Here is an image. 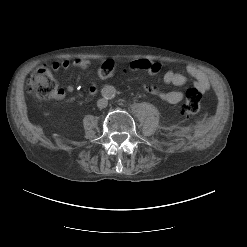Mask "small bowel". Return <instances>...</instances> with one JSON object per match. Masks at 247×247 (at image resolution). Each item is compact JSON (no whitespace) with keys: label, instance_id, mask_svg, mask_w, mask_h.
Wrapping results in <instances>:
<instances>
[{"label":"small bowel","instance_id":"1","mask_svg":"<svg viewBox=\"0 0 247 247\" xmlns=\"http://www.w3.org/2000/svg\"><path fill=\"white\" fill-rule=\"evenodd\" d=\"M73 64L77 67L87 69L90 67L89 60L86 59H76ZM70 67V62L67 60L62 61L61 63H55L52 65V69L54 71H58L59 69H68ZM130 68L132 70H145L150 74L158 73L161 69V65L154 61L147 60H136L131 62ZM192 78L194 82L195 88L200 93H207L210 90V83L207 75L197 68L194 65H188L186 68V73L175 72L168 70L163 74V81L166 84H172L175 86H182L187 83L188 79ZM146 89L159 98L162 101H166L168 103L177 104L182 101L183 93L176 90H161L154 86H146ZM65 90L67 92H72L74 87L72 85L66 86ZM97 92V86L92 84L89 87V93L95 94ZM64 92H60V96H63Z\"/></svg>","mask_w":247,"mask_h":247}]
</instances>
